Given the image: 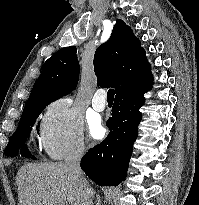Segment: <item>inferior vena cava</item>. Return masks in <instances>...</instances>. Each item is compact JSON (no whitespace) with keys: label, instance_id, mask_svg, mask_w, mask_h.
Wrapping results in <instances>:
<instances>
[{"label":"inferior vena cava","instance_id":"inferior-vena-cava-1","mask_svg":"<svg viewBox=\"0 0 199 205\" xmlns=\"http://www.w3.org/2000/svg\"><path fill=\"white\" fill-rule=\"evenodd\" d=\"M84 152L85 148L83 146L70 151L65 158V162L69 170L72 172L73 176L80 182L82 188L85 190L87 196L91 200L93 192L88 186L80 167V160L84 155Z\"/></svg>","mask_w":199,"mask_h":205}]
</instances>
